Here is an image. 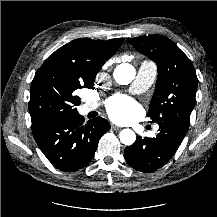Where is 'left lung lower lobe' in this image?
<instances>
[{
    "mask_svg": "<svg viewBox=\"0 0 217 217\" xmlns=\"http://www.w3.org/2000/svg\"><path fill=\"white\" fill-rule=\"evenodd\" d=\"M187 130L173 123L159 125V133L154 138L137 136L132 146L124 151L126 162L141 172H152L165 165L179 148Z\"/></svg>",
    "mask_w": 217,
    "mask_h": 217,
    "instance_id": "obj_1",
    "label": "left lung lower lobe"
}]
</instances>
